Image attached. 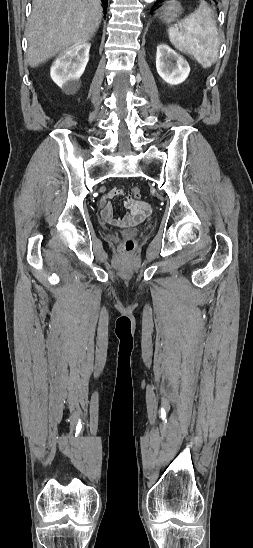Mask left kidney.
Here are the masks:
<instances>
[{
  "mask_svg": "<svg viewBox=\"0 0 253 548\" xmlns=\"http://www.w3.org/2000/svg\"><path fill=\"white\" fill-rule=\"evenodd\" d=\"M156 69L159 76L170 85L182 83L190 72L188 62L166 44L157 46Z\"/></svg>",
  "mask_w": 253,
  "mask_h": 548,
  "instance_id": "left-kidney-1",
  "label": "left kidney"
}]
</instances>
